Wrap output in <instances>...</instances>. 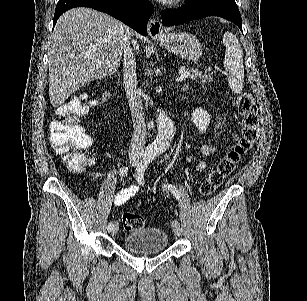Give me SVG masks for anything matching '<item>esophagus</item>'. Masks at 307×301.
Returning <instances> with one entry per match:
<instances>
[{
    "label": "esophagus",
    "mask_w": 307,
    "mask_h": 301,
    "mask_svg": "<svg viewBox=\"0 0 307 301\" xmlns=\"http://www.w3.org/2000/svg\"><path fill=\"white\" fill-rule=\"evenodd\" d=\"M148 33L153 40L162 39L164 34L162 23L154 18L151 19L148 23Z\"/></svg>",
    "instance_id": "obj_1"
}]
</instances>
